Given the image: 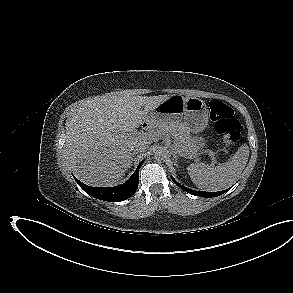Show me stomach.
I'll use <instances>...</instances> for the list:
<instances>
[{
  "label": "stomach",
  "instance_id": "0dacf381",
  "mask_svg": "<svg viewBox=\"0 0 293 293\" xmlns=\"http://www.w3.org/2000/svg\"><path fill=\"white\" fill-rule=\"evenodd\" d=\"M148 119L154 126L183 120L188 131L196 134L192 141L197 149H202L206 145L205 138L197 135L207 127L209 121V109L200 98L172 95L152 109Z\"/></svg>",
  "mask_w": 293,
  "mask_h": 293
}]
</instances>
